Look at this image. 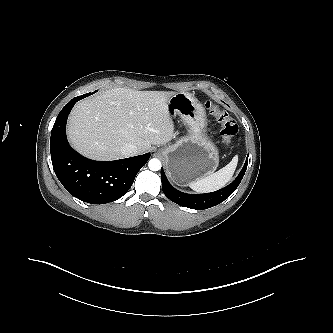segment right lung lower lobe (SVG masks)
<instances>
[{
	"instance_id": "right-lung-lower-lobe-1",
	"label": "right lung lower lobe",
	"mask_w": 333,
	"mask_h": 333,
	"mask_svg": "<svg viewBox=\"0 0 333 333\" xmlns=\"http://www.w3.org/2000/svg\"><path fill=\"white\" fill-rule=\"evenodd\" d=\"M73 98L59 113L51 132L50 153L55 174L74 197L91 204L113 202L127 193L150 153L115 161H94L73 150L66 138V122Z\"/></svg>"
}]
</instances>
